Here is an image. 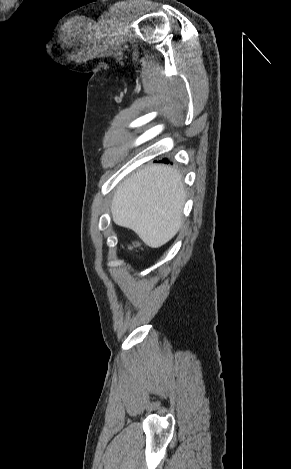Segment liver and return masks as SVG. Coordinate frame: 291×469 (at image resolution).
<instances>
[{
  "instance_id": "obj_1",
  "label": "liver",
  "mask_w": 291,
  "mask_h": 469,
  "mask_svg": "<svg viewBox=\"0 0 291 469\" xmlns=\"http://www.w3.org/2000/svg\"><path fill=\"white\" fill-rule=\"evenodd\" d=\"M185 196L176 169L146 166L118 186L111 204L112 219L133 230L149 247L159 248L179 231Z\"/></svg>"
}]
</instances>
